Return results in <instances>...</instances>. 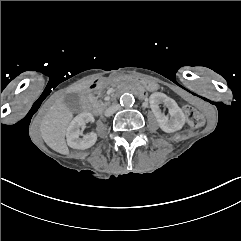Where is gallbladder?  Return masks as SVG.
<instances>
[{
    "label": "gallbladder",
    "instance_id": "1",
    "mask_svg": "<svg viewBox=\"0 0 241 241\" xmlns=\"http://www.w3.org/2000/svg\"><path fill=\"white\" fill-rule=\"evenodd\" d=\"M65 108L72 114H77L83 107L78 93H68L64 96Z\"/></svg>",
    "mask_w": 241,
    "mask_h": 241
}]
</instances>
